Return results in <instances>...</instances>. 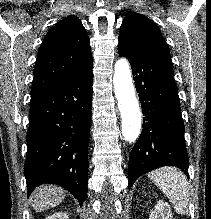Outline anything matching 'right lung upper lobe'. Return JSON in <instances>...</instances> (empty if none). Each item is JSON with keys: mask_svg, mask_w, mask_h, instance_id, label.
Returning a JSON list of instances; mask_svg holds the SVG:
<instances>
[{"mask_svg": "<svg viewBox=\"0 0 211 219\" xmlns=\"http://www.w3.org/2000/svg\"><path fill=\"white\" fill-rule=\"evenodd\" d=\"M92 62L81 21L76 16L64 18L48 31L38 51L31 96L53 88Z\"/></svg>", "mask_w": 211, "mask_h": 219, "instance_id": "obj_1", "label": "right lung upper lobe"}]
</instances>
